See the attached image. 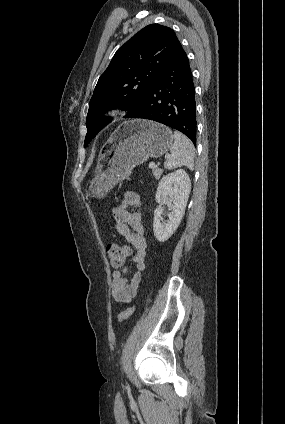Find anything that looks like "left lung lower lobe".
Segmentation results:
<instances>
[{
  "mask_svg": "<svg viewBox=\"0 0 285 424\" xmlns=\"http://www.w3.org/2000/svg\"><path fill=\"white\" fill-rule=\"evenodd\" d=\"M124 117L165 124L185 134L196 145L195 87L189 60L180 42L159 78Z\"/></svg>",
  "mask_w": 285,
  "mask_h": 424,
  "instance_id": "1",
  "label": "left lung lower lobe"
}]
</instances>
